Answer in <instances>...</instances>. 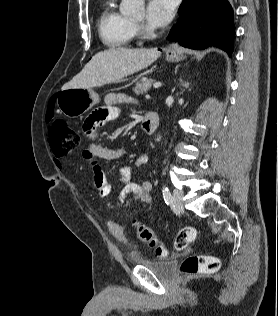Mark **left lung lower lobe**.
I'll return each mask as SVG.
<instances>
[{"instance_id":"left-lung-lower-lobe-1","label":"left lung lower lobe","mask_w":278,"mask_h":316,"mask_svg":"<svg viewBox=\"0 0 278 316\" xmlns=\"http://www.w3.org/2000/svg\"><path fill=\"white\" fill-rule=\"evenodd\" d=\"M235 28L228 0H183L169 39L192 49L215 46L231 56Z\"/></svg>"}]
</instances>
